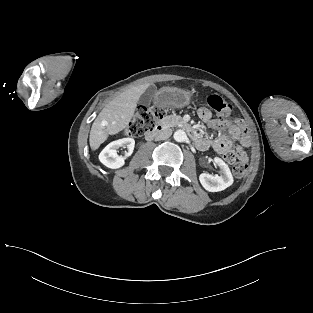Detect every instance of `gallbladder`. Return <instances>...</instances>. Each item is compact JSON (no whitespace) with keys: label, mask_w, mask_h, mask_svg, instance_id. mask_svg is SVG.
Masks as SVG:
<instances>
[{"label":"gallbladder","mask_w":313,"mask_h":313,"mask_svg":"<svg viewBox=\"0 0 313 313\" xmlns=\"http://www.w3.org/2000/svg\"><path fill=\"white\" fill-rule=\"evenodd\" d=\"M156 92L155 86H150L147 91L144 93V95L141 98L142 103H148L151 101L153 94Z\"/></svg>","instance_id":"bac80fb5"}]
</instances>
